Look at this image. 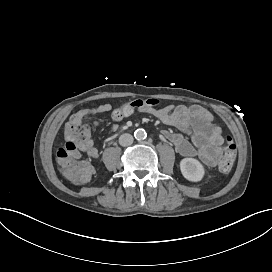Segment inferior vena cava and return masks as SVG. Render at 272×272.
I'll return each mask as SVG.
<instances>
[{
    "label": "inferior vena cava",
    "instance_id": "1",
    "mask_svg": "<svg viewBox=\"0 0 272 272\" xmlns=\"http://www.w3.org/2000/svg\"><path fill=\"white\" fill-rule=\"evenodd\" d=\"M134 141V138L129 133H124L119 137V144L123 147L130 146Z\"/></svg>",
    "mask_w": 272,
    "mask_h": 272
}]
</instances>
